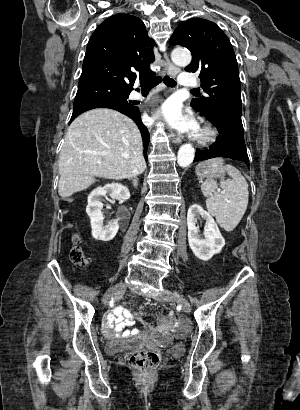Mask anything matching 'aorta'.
<instances>
[{
  "label": "aorta",
  "instance_id": "aorta-1",
  "mask_svg": "<svg viewBox=\"0 0 300 410\" xmlns=\"http://www.w3.org/2000/svg\"><path fill=\"white\" fill-rule=\"evenodd\" d=\"M172 61L178 65L185 67L191 62V53L187 49L176 48L171 54ZM195 156L194 148L191 144H183L177 154V162L181 167L189 166Z\"/></svg>",
  "mask_w": 300,
  "mask_h": 410
}]
</instances>
